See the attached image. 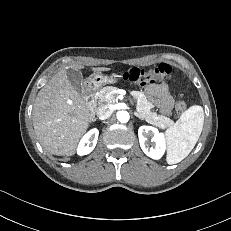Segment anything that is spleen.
<instances>
[{"label": "spleen", "mask_w": 231, "mask_h": 231, "mask_svg": "<svg viewBox=\"0 0 231 231\" xmlns=\"http://www.w3.org/2000/svg\"><path fill=\"white\" fill-rule=\"evenodd\" d=\"M204 124V111L193 105L182 113L179 120L166 130L168 164H176L185 159L196 145Z\"/></svg>", "instance_id": "3e777b00"}]
</instances>
